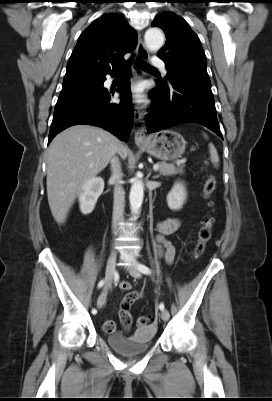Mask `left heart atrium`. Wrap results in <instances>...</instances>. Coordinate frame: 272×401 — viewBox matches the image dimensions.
<instances>
[{
  "label": "left heart atrium",
  "mask_w": 272,
  "mask_h": 401,
  "mask_svg": "<svg viewBox=\"0 0 272 401\" xmlns=\"http://www.w3.org/2000/svg\"><path fill=\"white\" fill-rule=\"evenodd\" d=\"M132 98L134 101L141 103L144 102V95L141 86H134L132 89Z\"/></svg>",
  "instance_id": "39dd6f15"
}]
</instances>
